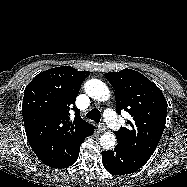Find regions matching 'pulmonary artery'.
I'll use <instances>...</instances> for the list:
<instances>
[{
  "label": "pulmonary artery",
  "instance_id": "obj_1",
  "mask_svg": "<svg viewBox=\"0 0 187 187\" xmlns=\"http://www.w3.org/2000/svg\"><path fill=\"white\" fill-rule=\"evenodd\" d=\"M105 115L106 118L110 121V123L112 124L113 127L118 128L120 126V119L115 115V113L110 110V109H106L105 110Z\"/></svg>",
  "mask_w": 187,
  "mask_h": 187
}]
</instances>
